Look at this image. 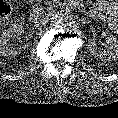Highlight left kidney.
<instances>
[{"mask_svg": "<svg viewBox=\"0 0 118 118\" xmlns=\"http://www.w3.org/2000/svg\"><path fill=\"white\" fill-rule=\"evenodd\" d=\"M101 36L108 44V50L103 51L97 46L95 39L89 42V51L96 58H100L103 61H116L118 60V39L108 32H102Z\"/></svg>", "mask_w": 118, "mask_h": 118, "instance_id": "5707ae66", "label": "left kidney"}]
</instances>
